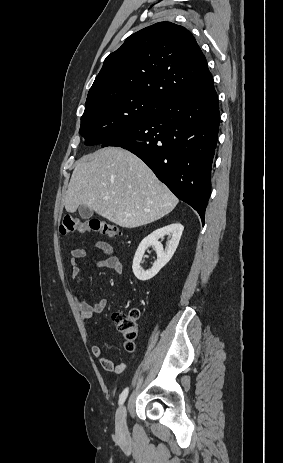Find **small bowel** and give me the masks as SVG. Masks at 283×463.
I'll return each instance as SVG.
<instances>
[{
  "mask_svg": "<svg viewBox=\"0 0 283 463\" xmlns=\"http://www.w3.org/2000/svg\"><path fill=\"white\" fill-rule=\"evenodd\" d=\"M96 248L104 254L106 257L98 260L94 263L93 268H106L115 271L116 273L122 272V262L118 256L114 254V248L111 244L105 241H96ZM86 256V250L84 247L74 248L71 250L70 265L72 268V276L76 278L79 275V260L83 259ZM75 302L78 309L81 312V315L84 320H90L95 315L103 312L107 305L108 301L106 299L99 300L96 304L90 305L80 296L75 297ZM93 356L99 360L102 367L106 371L115 372L120 374L125 370V363H115L110 358H108L103 348L99 345H94L91 348Z\"/></svg>",
  "mask_w": 283,
  "mask_h": 463,
  "instance_id": "c3829d8e",
  "label": "small bowel"
}]
</instances>
